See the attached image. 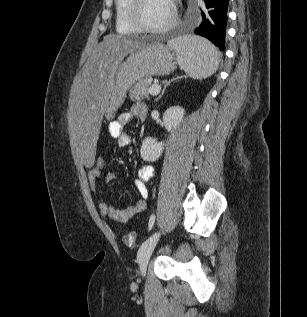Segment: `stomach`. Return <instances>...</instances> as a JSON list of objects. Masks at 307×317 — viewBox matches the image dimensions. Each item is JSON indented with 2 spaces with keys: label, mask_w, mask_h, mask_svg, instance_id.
<instances>
[{
  "label": "stomach",
  "mask_w": 307,
  "mask_h": 317,
  "mask_svg": "<svg viewBox=\"0 0 307 317\" xmlns=\"http://www.w3.org/2000/svg\"><path fill=\"white\" fill-rule=\"evenodd\" d=\"M176 59L172 49L161 43L145 45L119 64L114 84L106 102L104 115L108 119L124 102L127 91L137 81L152 76H163L176 69Z\"/></svg>",
  "instance_id": "obj_1"
}]
</instances>
